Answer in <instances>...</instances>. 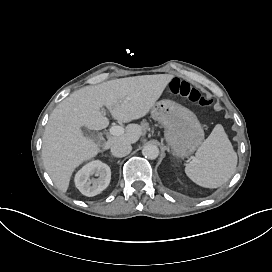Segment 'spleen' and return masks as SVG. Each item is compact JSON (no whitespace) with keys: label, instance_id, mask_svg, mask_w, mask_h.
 Segmentation results:
<instances>
[{"label":"spleen","instance_id":"3e777b00","mask_svg":"<svg viewBox=\"0 0 272 272\" xmlns=\"http://www.w3.org/2000/svg\"><path fill=\"white\" fill-rule=\"evenodd\" d=\"M237 154L221 124H217L185 167L186 175L197 185L218 188L234 174Z\"/></svg>","mask_w":272,"mask_h":272}]
</instances>
